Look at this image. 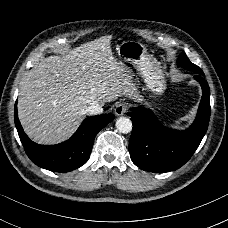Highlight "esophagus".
<instances>
[{
	"mask_svg": "<svg viewBox=\"0 0 228 228\" xmlns=\"http://www.w3.org/2000/svg\"><path fill=\"white\" fill-rule=\"evenodd\" d=\"M127 109H128V104L124 102L116 105L114 112L117 116H122Z\"/></svg>",
	"mask_w": 228,
	"mask_h": 228,
	"instance_id": "esophagus-1",
	"label": "esophagus"
}]
</instances>
